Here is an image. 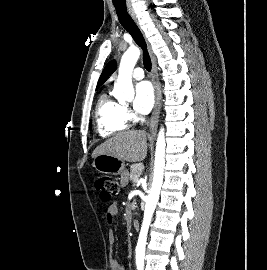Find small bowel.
<instances>
[{
	"label": "small bowel",
	"instance_id": "c3829d8e",
	"mask_svg": "<svg viewBox=\"0 0 267 270\" xmlns=\"http://www.w3.org/2000/svg\"><path fill=\"white\" fill-rule=\"evenodd\" d=\"M122 183H126V177L122 178ZM118 214V207L116 204H112L107 208L106 216L109 221L113 220L115 216ZM108 240L112 246V253L110 257V267L111 270H125V267L123 264L118 260V258L115 255V251L113 248L114 242H115V235L113 231H109L108 233Z\"/></svg>",
	"mask_w": 267,
	"mask_h": 270
}]
</instances>
